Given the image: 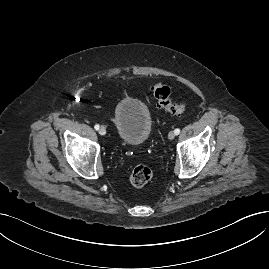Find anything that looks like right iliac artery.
Wrapping results in <instances>:
<instances>
[{
	"mask_svg": "<svg viewBox=\"0 0 269 269\" xmlns=\"http://www.w3.org/2000/svg\"><path fill=\"white\" fill-rule=\"evenodd\" d=\"M94 128H95V130H98V129H99V125L96 124V125L94 126Z\"/></svg>",
	"mask_w": 269,
	"mask_h": 269,
	"instance_id": "obj_1",
	"label": "right iliac artery"
}]
</instances>
